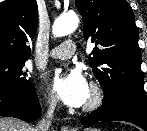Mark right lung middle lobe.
<instances>
[{
	"label": "right lung middle lobe",
	"mask_w": 147,
	"mask_h": 131,
	"mask_svg": "<svg viewBox=\"0 0 147 131\" xmlns=\"http://www.w3.org/2000/svg\"><path fill=\"white\" fill-rule=\"evenodd\" d=\"M26 61L27 59L0 57V90L29 92L34 88L26 78Z\"/></svg>",
	"instance_id": "1"
}]
</instances>
